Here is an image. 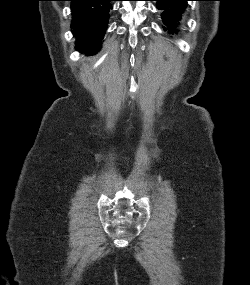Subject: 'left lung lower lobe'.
<instances>
[{
  "instance_id": "left-lung-lower-lobe-1",
  "label": "left lung lower lobe",
  "mask_w": 250,
  "mask_h": 285,
  "mask_svg": "<svg viewBox=\"0 0 250 285\" xmlns=\"http://www.w3.org/2000/svg\"><path fill=\"white\" fill-rule=\"evenodd\" d=\"M157 1V8L162 10V21L164 30H168L171 34L177 32L180 26L183 12L187 6V1L191 0H153Z\"/></svg>"
}]
</instances>
